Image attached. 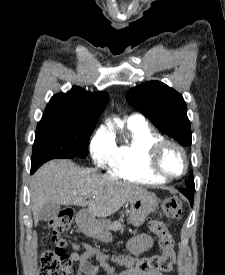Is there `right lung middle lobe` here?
<instances>
[{"mask_svg": "<svg viewBox=\"0 0 225 275\" xmlns=\"http://www.w3.org/2000/svg\"><path fill=\"white\" fill-rule=\"evenodd\" d=\"M94 123L71 120H41L36 129L31 173L54 158H85Z\"/></svg>", "mask_w": 225, "mask_h": 275, "instance_id": "obj_1", "label": "right lung middle lobe"}]
</instances>
